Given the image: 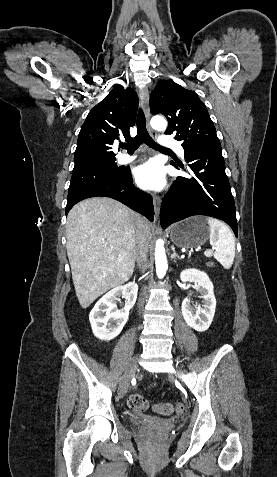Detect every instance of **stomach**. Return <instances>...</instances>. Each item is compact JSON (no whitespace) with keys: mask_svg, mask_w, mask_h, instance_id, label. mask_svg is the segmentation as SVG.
Listing matches in <instances>:
<instances>
[{"mask_svg":"<svg viewBox=\"0 0 277 477\" xmlns=\"http://www.w3.org/2000/svg\"><path fill=\"white\" fill-rule=\"evenodd\" d=\"M170 239L178 247L193 249L205 244L210 226L204 216H193L174 224L170 228Z\"/></svg>","mask_w":277,"mask_h":477,"instance_id":"obj_1","label":"stomach"}]
</instances>
